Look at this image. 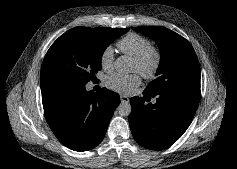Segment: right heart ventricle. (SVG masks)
<instances>
[{
  "label": "right heart ventricle",
  "instance_id": "e07e8e85",
  "mask_svg": "<svg viewBox=\"0 0 237 169\" xmlns=\"http://www.w3.org/2000/svg\"><path fill=\"white\" fill-rule=\"evenodd\" d=\"M120 50L131 57H136L151 47V41L139 34L130 33L118 42Z\"/></svg>",
  "mask_w": 237,
  "mask_h": 169
}]
</instances>
